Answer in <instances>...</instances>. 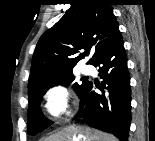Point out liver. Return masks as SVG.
I'll list each match as a JSON object with an SVG mask.
<instances>
[{"label": "liver", "instance_id": "6515ba94", "mask_svg": "<svg viewBox=\"0 0 155 141\" xmlns=\"http://www.w3.org/2000/svg\"><path fill=\"white\" fill-rule=\"evenodd\" d=\"M117 141L111 134L82 126H68L47 137L45 141Z\"/></svg>", "mask_w": 155, "mask_h": 141}]
</instances>
